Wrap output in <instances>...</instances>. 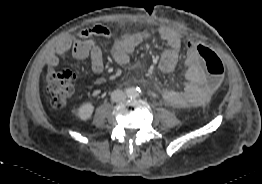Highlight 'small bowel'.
Masks as SVG:
<instances>
[{
    "instance_id": "c3829d8e",
    "label": "small bowel",
    "mask_w": 262,
    "mask_h": 184,
    "mask_svg": "<svg viewBox=\"0 0 262 184\" xmlns=\"http://www.w3.org/2000/svg\"><path fill=\"white\" fill-rule=\"evenodd\" d=\"M111 30L104 25H94L79 32V39L64 38L57 42L55 50L47 55L46 65L53 69L59 64L60 59L73 56L76 59L89 58L91 69L95 74H101L104 70L103 53L97 44L96 38H110ZM149 32L124 33L116 40L111 53L114 61L119 65L129 62L130 54L145 40L149 39ZM160 39L165 43V50L159 59V68L163 72H172L178 62L182 46V34L170 27L161 28ZM185 52L188 55L184 72L187 81L181 90L164 89L161 92L163 100L176 107L200 106L210 97L211 87L204 83L205 68L200 57L197 56L196 44L189 40L185 44ZM105 78L98 77L97 85H103Z\"/></svg>"
}]
</instances>
